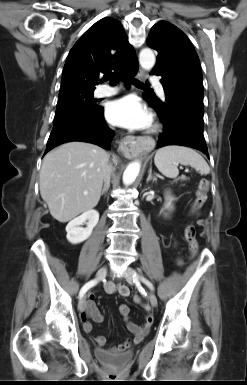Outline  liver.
<instances>
[{
    "label": "liver",
    "instance_id": "obj_1",
    "mask_svg": "<svg viewBox=\"0 0 247 385\" xmlns=\"http://www.w3.org/2000/svg\"><path fill=\"white\" fill-rule=\"evenodd\" d=\"M108 161L104 149L79 141L64 143L46 154L39 186L54 219L68 222L98 204ZM113 161L117 163L115 156Z\"/></svg>",
    "mask_w": 247,
    "mask_h": 385
}]
</instances>
